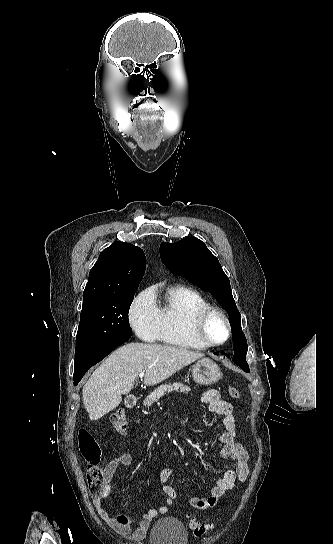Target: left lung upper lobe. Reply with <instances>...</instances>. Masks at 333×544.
<instances>
[{
    "label": "left lung upper lobe",
    "instance_id": "left-lung-upper-lobe-1",
    "mask_svg": "<svg viewBox=\"0 0 333 544\" xmlns=\"http://www.w3.org/2000/svg\"><path fill=\"white\" fill-rule=\"evenodd\" d=\"M160 255L171 273L183 276L210 292L229 314V321L235 338L232 360L241 368H249L246 362L247 342L241 330V316L232 296L228 277L218 259L206 248L201 240L187 237L170 244L163 242Z\"/></svg>",
    "mask_w": 333,
    "mask_h": 544
}]
</instances>
